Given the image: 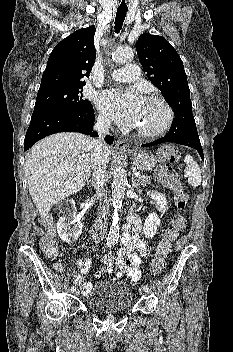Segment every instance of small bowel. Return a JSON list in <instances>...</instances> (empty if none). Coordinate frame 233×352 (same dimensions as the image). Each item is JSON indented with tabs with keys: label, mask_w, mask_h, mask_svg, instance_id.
Instances as JSON below:
<instances>
[{
	"label": "small bowel",
	"mask_w": 233,
	"mask_h": 352,
	"mask_svg": "<svg viewBox=\"0 0 233 352\" xmlns=\"http://www.w3.org/2000/svg\"><path fill=\"white\" fill-rule=\"evenodd\" d=\"M151 197L158 210L166 212L167 201L165 196L154 191ZM141 225L140 218L136 216L129 218L125 233L121 237V245L114 259L119 270L117 276L125 274L134 282L141 278L142 258L148 257L150 253L147 242L140 235ZM76 263L79 267V273L74 276V283L82 288L83 294H88L92 288V283L85 279V275L89 271L91 259L78 260Z\"/></svg>",
	"instance_id": "obj_1"
}]
</instances>
